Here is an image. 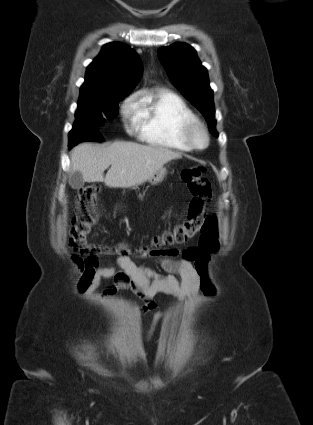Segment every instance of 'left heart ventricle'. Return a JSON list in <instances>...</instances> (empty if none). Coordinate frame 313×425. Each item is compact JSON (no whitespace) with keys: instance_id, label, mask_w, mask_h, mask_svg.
Here are the masks:
<instances>
[{"instance_id":"1","label":"left heart ventricle","mask_w":313,"mask_h":425,"mask_svg":"<svg viewBox=\"0 0 313 425\" xmlns=\"http://www.w3.org/2000/svg\"><path fill=\"white\" fill-rule=\"evenodd\" d=\"M196 141H197V143H198V144H200V145H202V144L204 143V139H203V137H202V135H201V134H198V135L196 136Z\"/></svg>"}]
</instances>
